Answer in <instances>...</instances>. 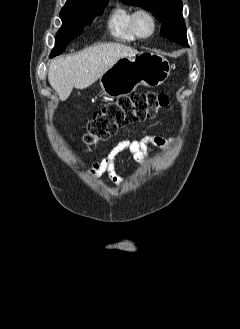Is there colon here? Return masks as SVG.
I'll use <instances>...</instances> for the list:
<instances>
[{
	"label": "colon",
	"instance_id": "colon-1",
	"mask_svg": "<svg viewBox=\"0 0 240 329\" xmlns=\"http://www.w3.org/2000/svg\"><path fill=\"white\" fill-rule=\"evenodd\" d=\"M167 104L168 97L163 92L135 93L108 103L93 113L84 141L91 146L106 140L123 126L154 118Z\"/></svg>",
	"mask_w": 240,
	"mask_h": 329
}]
</instances>
